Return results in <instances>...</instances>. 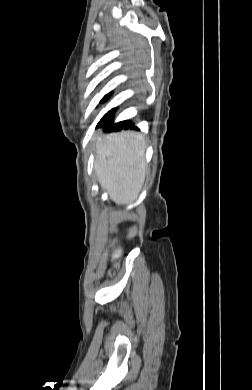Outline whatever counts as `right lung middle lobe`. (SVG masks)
<instances>
[{
	"label": "right lung middle lobe",
	"instance_id": "obj_1",
	"mask_svg": "<svg viewBox=\"0 0 252 390\" xmlns=\"http://www.w3.org/2000/svg\"><path fill=\"white\" fill-rule=\"evenodd\" d=\"M113 113H114V109L110 110L107 114H105L104 117L98 123L97 127H100L106 124L109 120H111Z\"/></svg>",
	"mask_w": 252,
	"mask_h": 390
}]
</instances>
